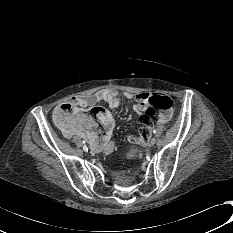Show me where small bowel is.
Returning a JSON list of instances; mask_svg holds the SVG:
<instances>
[{
	"instance_id": "c3829d8e",
	"label": "small bowel",
	"mask_w": 233,
	"mask_h": 233,
	"mask_svg": "<svg viewBox=\"0 0 233 233\" xmlns=\"http://www.w3.org/2000/svg\"><path fill=\"white\" fill-rule=\"evenodd\" d=\"M152 96L153 95L146 92L133 94L127 91L105 89L93 94L73 97L68 101V103L75 108L76 113L74 115H81L84 114L82 113L84 109L96 106L101 103H105L110 108H117L120 105V99L125 98L134 102V109L136 112L142 113L149 105V100ZM56 112L57 109L54 113V117ZM168 118L169 115L161 114L159 123L167 121ZM100 122L104 127L103 134H100L98 131H96L95 121H91V124L86 127L79 126L77 121L71 122L69 127H63L60 126L57 122L56 123L60 127L65 137L70 138L73 135H78L90 144L92 152L109 153L114 147L112 141L114 133V121L110 114L107 119L100 120ZM124 158L129 163H136L141 158V151L136 146H129L124 151Z\"/></svg>"
}]
</instances>
